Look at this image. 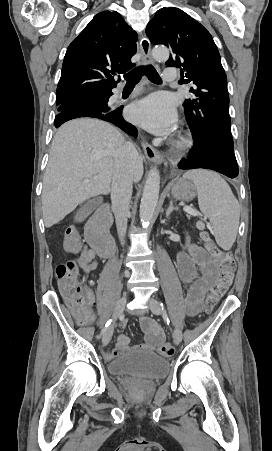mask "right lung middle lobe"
Returning <instances> with one entry per match:
<instances>
[{"label":"right lung middle lobe","mask_w":272,"mask_h":451,"mask_svg":"<svg viewBox=\"0 0 272 451\" xmlns=\"http://www.w3.org/2000/svg\"><path fill=\"white\" fill-rule=\"evenodd\" d=\"M88 96L89 95L68 97V98H56V104L58 106V111H60L63 108V106H61L63 103L69 102V101L81 100V99H84V98H86ZM105 107H107V105H105Z\"/></svg>","instance_id":"1"}]
</instances>
